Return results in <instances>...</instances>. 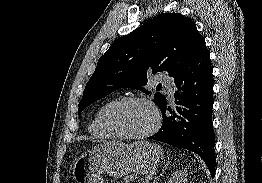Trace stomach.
<instances>
[{"instance_id": "stomach-1", "label": "stomach", "mask_w": 262, "mask_h": 183, "mask_svg": "<svg viewBox=\"0 0 262 183\" xmlns=\"http://www.w3.org/2000/svg\"><path fill=\"white\" fill-rule=\"evenodd\" d=\"M164 155L161 146L148 141L125 144L107 140L81 154L73 164L76 183H104L102 174L120 178L130 173L154 172Z\"/></svg>"}]
</instances>
